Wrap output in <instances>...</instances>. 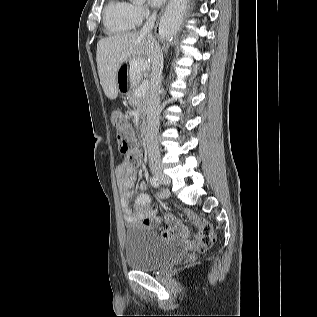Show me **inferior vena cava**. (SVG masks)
Instances as JSON below:
<instances>
[{"label": "inferior vena cava", "instance_id": "inferior-vena-cava-1", "mask_svg": "<svg viewBox=\"0 0 317 317\" xmlns=\"http://www.w3.org/2000/svg\"><path fill=\"white\" fill-rule=\"evenodd\" d=\"M156 20V11L146 20L140 34L147 36L152 42L153 46V59H152V72H151V90L147 98V119L145 128V141L147 145V152L149 162L152 169H156L161 165L160 151L157 141V134L159 129V116H160V85L162 81L163 71V54L161 48L152 35V29Z\"/></svg>", "mask_w": 317, "mask_h": 317}]
</instances>
